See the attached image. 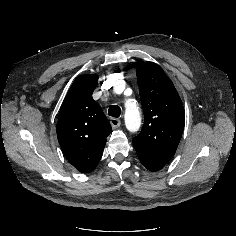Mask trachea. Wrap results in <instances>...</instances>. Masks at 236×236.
Wrapping results in <instances>:
<instances>
[{
	"mask_svg": "<svg viewBox=\"0 0 236 236\" xmlns=\"http://www.w3.org/2000/svg\"><path fill=\"white\" fill-rule=\"evenodd\" d=\"M121 114V108L118 105H112L108 110V115L112 117H119Z\"/></svg>",
	"mask_w": 236,
	"mask_h": 236,
	"instance_id": "3493384b",
	"label": "trachea"
}]
</instances>
